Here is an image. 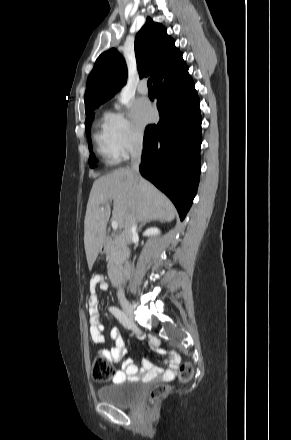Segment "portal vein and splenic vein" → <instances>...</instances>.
I'll return each instance as SVG.
<instances>
[{
    "label": "portal vein and splenic vein",
    "instance_id": "1",
    "mask_svg": "<svg viewBox=\"0 0 291 440\" xmlns=\"http://www.w3.org/2000/svg\"><path fill=\"white\" fill-rule=\"evenodd\" d=\"M101 210L103 211V210H104V207H101ZM111 226H112L113 230H117V228H118V222H117V221H112Z\"/></svg>",
    "mask_w": 291,
    "mask_h": 440
}]
</instances>
